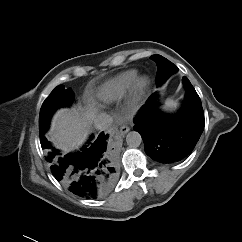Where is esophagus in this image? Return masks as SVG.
Segmentation results:
<instances>
[{"mask_svg": "<svg viewBox=\"0 0 242 242\" xmlns=\"http://www.w3.org/2000/svg\"><path fill=\"white\" fill-rule=\"evenodd\" d=\"M119 131H120L121 135H125L126 133H128L130 131V127L127 124H122L120 126Z\"/></svg>", "mask_w": 242, "mask_h": 242, "instance_id": "34e87169", "label": "esophagus"}]
</instances>
